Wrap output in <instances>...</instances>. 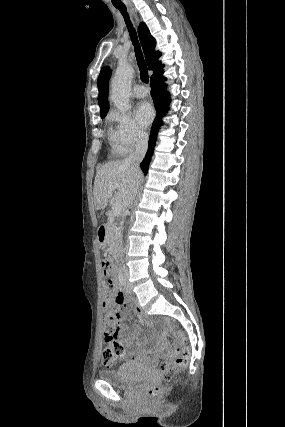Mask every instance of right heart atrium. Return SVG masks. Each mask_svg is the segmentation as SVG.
<instances>
[{
    "instance_id": "1",
    "label": "right heart atrium",
    "mask_w": 285,
    "mask_h": 427,
    "mask_svg": "<svg viewBox=\"0 0 285 427\" xmlns=\"http://www.w3.org/2000/svg\"><path fill=\"white\" fill-rule=\"evenodd\" d=\"M110 120L115 123L111 134L120 154L128 153L145 143L146 132L128 113L113 112L110 115Z\"/></svg>"
}]
</instances>
